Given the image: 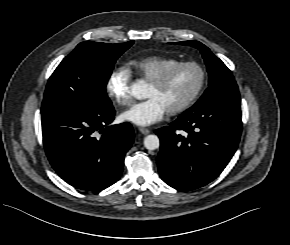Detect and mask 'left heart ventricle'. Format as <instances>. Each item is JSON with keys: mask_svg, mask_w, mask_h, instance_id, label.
<instances>
[{"mask_svg": "<svg viewBox=\"0 0 290 245\" xmlns=\"http://www.w3.org/2000/svg\"><path fill=\"white\" fill-rule=\"evenodd\" d=\"M200 78V72L196 68L178 69L162 86H155L149 83L145 97L157 98L168 111L189 98L199 85Z\"/></svg>", "mask_w": 290, "mask_h": 245, "instance_id": "b2bd125f", "label": "left heart ventricle"}]
</instances>
